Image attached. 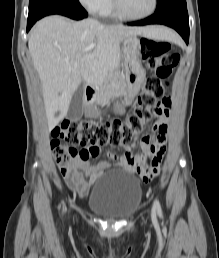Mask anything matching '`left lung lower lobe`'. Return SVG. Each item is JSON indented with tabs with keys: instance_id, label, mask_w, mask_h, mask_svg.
<instances>
[{
	"instance_id": "0a47b994",
	"label": "left lung lower lobe",
	"mask_w": 219,
	"mask_h": 258,
	"mask_svg": "<svg viewBox=\"0 0 219 258\" xmlns=\"http://www.w3.org/2000/svg\"><path fill=\"white\" fill-rule=\"evenodd\" d=\"M148 24H162L174 28L185 40L189 41V18L187 6H170L155 12L152 16L128 23V25L143 26Z\"/></svg>"
}]
</instances>
